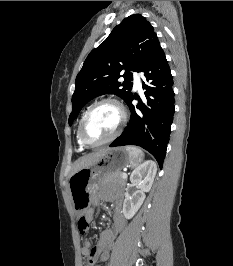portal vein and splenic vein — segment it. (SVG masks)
<instances>
[{
    "instance_id": "obj_1",
    "label": "portal vein and splenic vein",
    "mask_w": 233,
    "mask_h": 266,
    "mask_svg": "<svg viewBox=\"0 0 233 266\" xmlns=\"http://www.w3.org/2000/svg\"><path fill=\"white\" fill-rule=\"evenodd\" d=\"M122 177H123L124 179H126V178H127V174H126V173H122Z\"/></svg>"
}]
</instances>
